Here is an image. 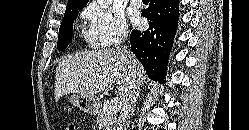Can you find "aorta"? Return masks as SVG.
<instances>
[{"label": "aorta", "instance_id": "aorta-1", "mask_svg": "<svg viewBox=\"0 0 249 130\" xmlns=\"http://www.w3.org/2000/svg\"><path fill=\"white\" fill-rule=\"evenodd\" d=\"M112 3V0H98V4L102 7V8H108L110 6V4Z\"/></svg>", "mask_w": 249, "mask_h": 130}]
</instances>
